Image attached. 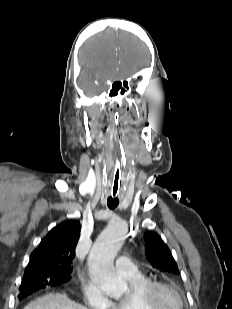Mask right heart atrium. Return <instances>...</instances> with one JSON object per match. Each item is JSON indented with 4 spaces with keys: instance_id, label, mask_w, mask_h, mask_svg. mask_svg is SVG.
Masks as SVG:
<instances>
[{
    "instance_id": "obj_1",
    "label": "right heart atrium",
    "mask_w": 232,
    "mask_h": 309,
    "mask_svg": "<svg viewBox=\"0 0 232 309\" xmlns=\"http://www.w3.org/2000/svg\"><path fill=\"white\" fill-rule=\"evenodd\" d=\"M81 286L86 305L92 309H111L112 302L95 282L83 280Z\"/></svg>"
}]
</instances>
